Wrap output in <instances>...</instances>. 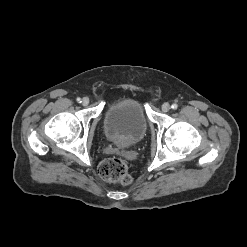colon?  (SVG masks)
Returning <instances> with one entry per match:
<instances>
[{
    "label": "colon",
    "instance_id": "colon-1",
    "mask_svg": "<svg viewBox=\"0 0 247 247\" xmlns=\"http://www.w3.org/2000/svg\"><path fill=\"white\" fill-rule=\"evenodd\" d=\"M99 176L110 183L128 185L132 178L128 172L126 162L120 158H107L98 166Z\"/></svg>",
    "mask_w": 247,
    "mask_h": 247
}]
</instances>
